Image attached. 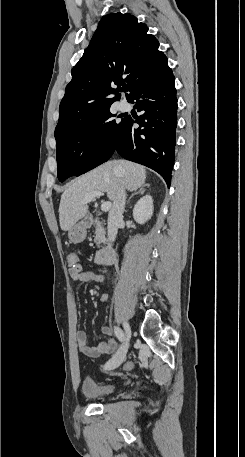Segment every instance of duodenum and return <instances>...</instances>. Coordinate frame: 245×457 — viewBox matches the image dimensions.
<instances>
[{
	"label": "duodenum",
	"mask_w": 245,
	"mask_h": 457,
	"mask_svg": "<svg viewBox=\"0 0 245 457\" xmlns=\"http://www.w3.org/2000/svg\"><path fill=\"white\" fill-rule=\"evenodd\" d=\"M116 252L112 248H104L96 253L95 261L99 265H109L116 261Z\"/></svg>",
	"instance_id": "1"
}]
</instances>
